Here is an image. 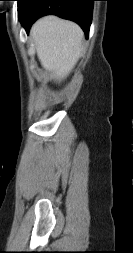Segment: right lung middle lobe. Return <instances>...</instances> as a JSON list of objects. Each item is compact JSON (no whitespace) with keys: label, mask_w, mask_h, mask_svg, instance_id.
I'll use <instances>...</instances> for the list:
<instances>
[{"label":"right lung middle lobe","mask_w":133,"mask_h":253,"mask_svg":"<svg viewBox=\"0 0 133 253\" xmlns=\"http://www.w3.org/2000/svg\"><path fill=\"white\" fill-rule=\"evenodd\" d=\"M18 1V17L21 16L23 8L28 0H16Z\"/></svg>","instance_id":"dd1d6c3e"}]
</instances>
